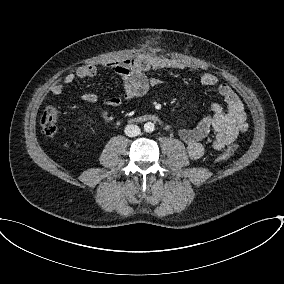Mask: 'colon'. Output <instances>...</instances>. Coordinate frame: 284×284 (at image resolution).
Returning <instances> with one entry per match:
<instances>
[{"mask_svg":"<svg viewBox=\"0 0 284 284\" xmlns=\"http://www.w3.org/2000/svg\"><path fill=\"white\" fill-rule=\"evenodd\" d=\"M59 111L54 106L46 107L40 117V126L46 136H53L58 130ZM236 145L229 147L219 157V161H225L236 150Z\"/></svg>","mask_w":284,"mask_h":284,"instance_id":"colon-1","label":"colon"}]
</instances>
